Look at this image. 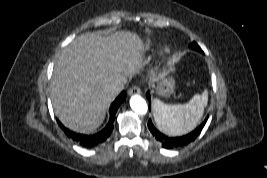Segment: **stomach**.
I'll return each mask as SVG.
<instances>
[{
	"mask_svg": "<svg viewBox=\"0 0 267 178\" xmlns=\"http://www.w3.org/2000/svg\"><path fill=\"white\" fill-rule=\"evenodd\" d=\"M170 72H174V67H170ZM156 93L162 97H169L174 93L175 80L172 76H163L155 87Z\"/></svg>",
	"mask_w": 267,
	"mask_h": 178,
	"instance_id": "obj_1",
	"label": "stomach"
}]
</instances>
